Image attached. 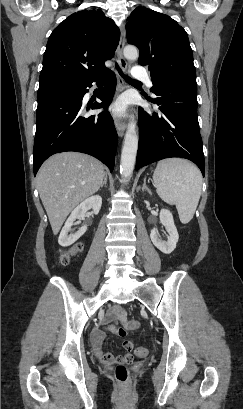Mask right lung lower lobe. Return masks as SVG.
I'll return each instance as SVG.
<instances>
[{
	"label": "right lung lower lobe",
	"instance_id": "obj_1",
	"mask_svg": "<svg viewBox=\"0 0 243 409\" xmlns=\"http://www.w3.org/2000/svg\"><path fill=\"white\" fill-rule=\"evenodd\" d=\"M105 74V75H103ZM105 77L104 88L95 102L86 108L82 99L92 86ZM116 87L115 74L107 69L100 75L75 87L49 90L38 94L36 134L34 141L33 170L36 175L41 164L51 155L64 151H77L92 155L114 168L117 133L107 109L98 115L84 116L85 111L108 107Z\"/></svg>",
	"mask_w": 243,
	"mask_h": 409
}]
</instances>
